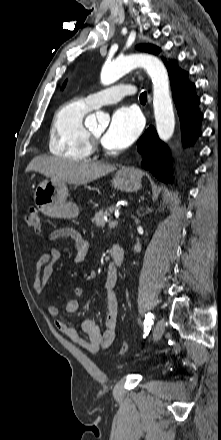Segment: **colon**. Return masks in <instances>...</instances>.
<instances>
[{"label": "colon", "instance_id": "colon-1", "mask_svg": "<svg viewBox=\"0 0 221 440\" xmlns=\"http://www.w3.org/2000/svg\"><path fill=\"white\" fill-rule=\"evenodd\" d=\"M27 225L35 231L41 230V215L38 209L30 208L26 215ZM128 349V344L123 342L120 347V353H125Z\"/></svg>", "mask_w": 221, "mask_h": 440}]
</instances>
